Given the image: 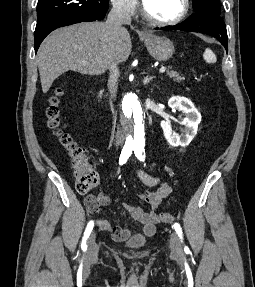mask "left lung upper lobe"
<instances>
[{
	"label": "left lung upper lobe",
	"instance_id": "left-lung-upper-lobe-1",
	"mask_svg": "<svg viewBox=\"0 0 255 287\" xmlns=\"http://www.w3.org/2000/svg\"><path fill=\"white\" fill-rule=\"evenodd\" d=\"M194 11H208L220 15L221 8L219 0H193Z\"/></svg>",
	"mask_w": 255,
	"mask_h": 287
}]
</instances>
